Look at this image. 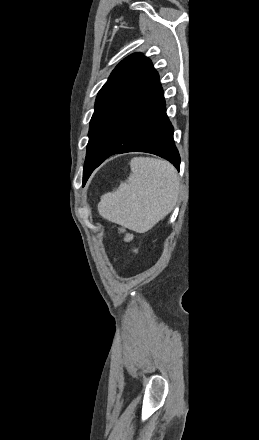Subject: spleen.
<instances>
[{"label":"spleen","mask_w":259,"mask_h":440,"mask_svg":"<svg viewBox=\"0 0 259 440\" xmlns=\"http://www.w3.org/2000/svg\"><path fill=\"white\" fill-rule=\"evenodd\" d=\"M130 168L126 182L102 195L98 211L111 222L145 233L173 210L179 178L174 166L161 159L134 157Z\"/></svg>","instance_id":"spleen-1"}]
</instances>
